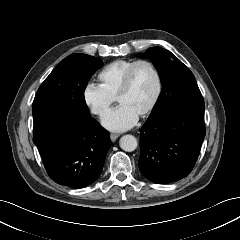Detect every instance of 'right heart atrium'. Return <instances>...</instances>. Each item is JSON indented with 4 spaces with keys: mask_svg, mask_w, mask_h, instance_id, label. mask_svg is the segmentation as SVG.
<instances>
[{
    "mask_svg": "<svg viewBox=\"0 0 240 240\" xmlns=\"http://www.w3.org/2000/svg\"><path fill=\"white\" fill-rule=\"evenodd\" d=\"M85 104L98 117H104L111 109L115 98L111 97L100 85L87 84L83 92Z\"/></svg>",
    "mask_w": 240,
    "mask_h": 240,
    "instance_id": "obj_1",
    "label": "right heart atrium"
}]
</instances>
